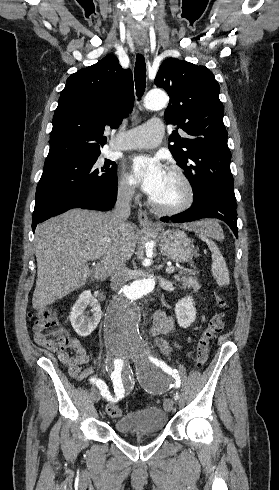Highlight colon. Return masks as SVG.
Here are the masks:
<instances>
[{"label": "colon", "mask_w": 279, "mask_h": 490, "mask_svg": "<svg viewBox=\"0 0 279 490\" xmlns=\"http://www.w3.org/2000/svg\"><path fill=\"white\" fill-rule=\"evenodd\" d=\"M215 299L221 311L211 318L198 338L195 357L199 366L207 362L210 343L222 330L226 320V311L229 307L226 299L220 295H216ZM32 316H35V335L40 347L58 354H64L66 350L72 349L73 341H78L72 339L69 329L60 327L56 315L51 309H39ZM106 411L112 418L122 416V408L116 404H107Z\"/></svg>", "instance_id": "1"}]
</instances>
